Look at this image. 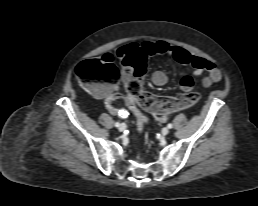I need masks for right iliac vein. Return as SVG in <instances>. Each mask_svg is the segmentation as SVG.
I'll use <instances>...</instances> for the list:
<instances>
[{"label": "right iliac vein", "mask_w": 258, "mask_h": 206, "mask_svg": "<svg viewBox=\"0 0 258 206\" xmlns=\"http://www.w3.org/2000/svg\"><path fill=\"white\" fill-rule=\"evenodd\" d=\"M125 129H126V125H125V124H121V125L119 126V128H118V130H119L120 132H123Z\"/></svg>", "instance_id": "right-iliac-vein-1"}]
</instances>
